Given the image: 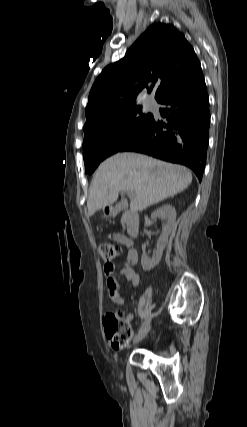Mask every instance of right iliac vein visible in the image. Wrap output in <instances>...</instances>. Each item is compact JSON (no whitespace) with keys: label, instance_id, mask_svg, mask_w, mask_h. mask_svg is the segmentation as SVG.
Here are the masks:
<instances>
[{"label":"right iliac vein","instance_id":"63e3f726","mask_svg":"<svg viewBox=\"0 0 247 427\" xmlns=\"http://www.w3.org/2000/svg\"><path fill=\"white\" fill-rule=\"evenodd\" d=\"M151 328V322L148 321V323L146 324V326L141 329L137 335L134 337L133 343L137 344L139 343L141 340H143L145 338V336L148 334L149 330Z\"/></svg>","mask_w":247,"mask_h":427}]
</instances>
